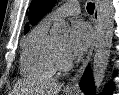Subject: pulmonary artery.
I'll return each instance as SVG.
<instances>
[{"label":"pulmonary artery","mask_w":119,"mask_h":95,"mask_svg":"<svg viewBox=\"0 0 119 95\" xmlns=\"http://www.w3.org/2000/svg\"><path fill=\"white\" fill-rule=\"evenodd\" d=\"M80 4L77 1H68L53 10L47 17L55 20L61 17L78 15L80 13Z\"/></svg>","instance_id":"obj_1"}]
</instances>
